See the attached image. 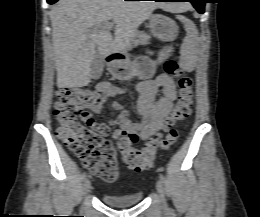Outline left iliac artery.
Instances as JSON below:
<instances>
[{"label":"left iliac artery","mask_w":260,"mask_h":217,"mask_svg":"<svg viewBox=\"0 0 260 217\" xmlns=\"http://www.w3.org/2000/svg\"><path fill=\"white\" fill-rule=\"evenodd\" d=\"M160 181L164 184L165 183V177L163 174H160Z\"/></svg>","instance_id":"obj_1"}]
</instances>
